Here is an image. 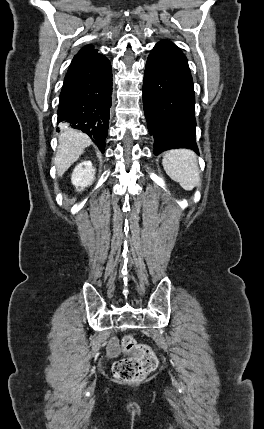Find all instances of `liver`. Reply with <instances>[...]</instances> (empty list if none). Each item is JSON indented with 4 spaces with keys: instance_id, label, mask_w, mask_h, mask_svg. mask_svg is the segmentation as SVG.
Returning <instances> with one entry per match:
<instances>
[{
    "instance_id": "6515ba94",
    "label": "liver",
    "mask_w": 264,
    "mask_h": 429,
    "mask_svg": "<svg viewBox=\"0 0 264 429\" xmlns=\"http://www.w3.org/2000/svg\"><path fill=\"white\" fill-rule=\"evenodd\" d=\"M59 145L54 158L57 175L62 176L91 144L90 138L81 131L65 129L58 136Z\"/></svg>"
}]
</instances>
